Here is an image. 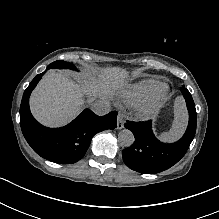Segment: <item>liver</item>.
I'll return each mask as SVG.
<instances>
[{"mask_svg":"<svg viewBox=\"0 0 219 219\" xmlns=\"http://www.w3.org/2000/svg\"><path fill=\"white\" fill-rule=\"evenodd\" d=\"M80 74L48 72L42 76L29 97V109L34 119L44 127L61 128L75 120L88 99L116 95L131 79L130 70L125 67L95 68Z\"/></svg>","mask_w":219,"mask_h":219,"instance_id":"6515ba94","label":"liver"}]
</instances>
